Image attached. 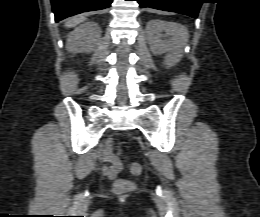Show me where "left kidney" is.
<instances>
[{"mask_svg": "<svg viewBox=\"0 0 260 217\" xmlns=\"http://www.w3.org/2000/svg\"><path fill=\"white\" fill-rule=\"evenodd\" d=\"M148 30V41L152 53L154 55H162L167 52L164 61L166 67L176 65L182 57L184 47V41L178 36L176 25L152 20L148 22ZM162 31L173 35V39L170 41H162L159 36Z\"/></svg>", "mask_w": 260, "mask_h": 217, "instance_id": "1", "label": "left kidney"}]
</instances>
